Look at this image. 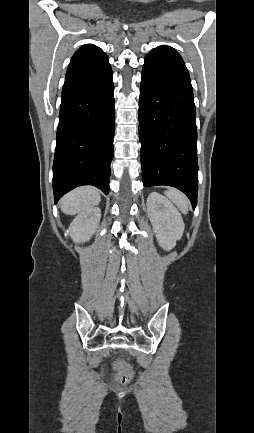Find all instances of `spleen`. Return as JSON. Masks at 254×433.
<instances>
[{
	"instance_id": "obj_1",
	"label": "spleen",
	"mask_w": 254,
	"mask_h": 433,
	"mask_svg": "<svg viewBox=\"0 0 254 433\" xmlns=\"http://www.w3.org/2000/svg\"><path fill=\"white\" fill-rule=\"evenodd\" d=\"M165 195L179 208V210L186 214L188 212L187 198L176 189H169L165 191Z\"/></svg>"
}]
</instances>
